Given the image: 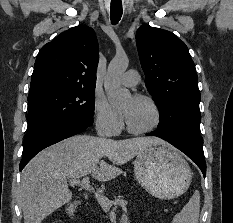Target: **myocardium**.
I'll return each mask as SVG.
<instances>
[{
    "label": "myocardium",
    "mask_w": 233,
    "mask_h": 223,
    "mask_svg": "<svg viewBox=\"0 0 233 223\" xmlns=\"http://www.w3.org/2000/svg\"><path fill=\"white\" fill-rule=\"evenodd\" d=\"M133 98L142 99V100L146 101L147 103H149L151 105L152 109L154 110L156 120H155L154 125L151 128L146 129V130L133 129L126 122L125 123L126 130L130 134L135 135V136H144V135H148L150 133H153V132L157 131L161 127L162 122H163L162 111H161L159 105L157 104V102L152 97H150L148 95H144V94H136V95L133 96Z\"/></svg>",
    "instance_id": "f54148a6"
}]
</instances>
